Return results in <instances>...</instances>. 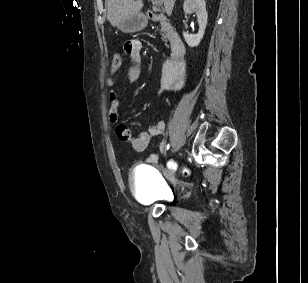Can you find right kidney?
Masks as SVG:
<instances>
[{
    "label": "right kidney",
    "mask_w": 308,
    "mask_h": 283,
    "mask_svg": "<svg viewBox=\"0 0 308 283\" xmlns=\"http://www.w3.org/2000/svg\"><path fill=\"white\" fill-rule=\"evenodd\" d=\"M183 10L186 14L195 13L199 24V32L196 35H189L188 32H183V37L190 47L199 45L204 36L207 26L208 13L206 10L205 0H185Z\"/></svg>",
    "instance_id": "right-kidney-1"
}]
</instances>
